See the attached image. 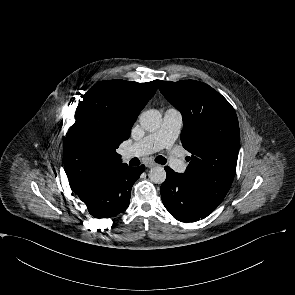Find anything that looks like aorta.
I'll return each mask as SVG.
<instances>
[{
    "label": "aorta",
    "instance_id": "1",
    "mask_svg": "<svg viewBox=\"0 0 295 295\" xmlns=\"http://www.w3.org/2000/svg\"><path fill=\"white\" fill-rule=\"evenodd\" d=\"M139 122L143 129L154 132L162 123V115L158 110H147L140 115ZM148 177L153 183L162 184L166 179V171L161 166H155L150 169Z\"/></svg>",
    "mask_w": 295,
    "mask_h": 295
}]
</instances>
